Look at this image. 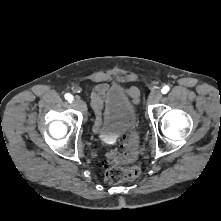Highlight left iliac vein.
Here are the masks:
<instances>
[{"label": "left iliac vein", "mask_w": 221, "mask_h": 221, "mask_svg": "<svg viewBox=\"0 0 221 221\" xmlns=\"http://www.w3.org/2000/svg\"><path fill=\"white\" fill-rule=\"evenodd\" d=\"M162 98V93L160 90H153L148 98V103L149 104H155L157 102H159Z\"/></svg>", "instance_id": "left-iliac-vein-1"}]
</instances>
